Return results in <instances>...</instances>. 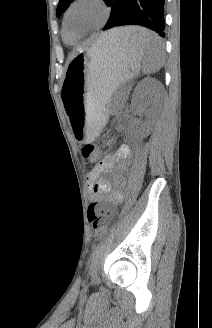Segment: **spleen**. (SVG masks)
<instances>
[{
    "label": "spleen",
    "mask_w": 212,
    "mask_h": 328,
    "mask_svg": "<svg viewBox=\"0 0 212 328\" xmlns=\"http://www.w3.org/2000/svg\"><path fill=\"white\" fill-rule=\"evenodd\" d=\"M132 45L145 51L143 72L151 74L158 71L164 63V51L161 39L142 27H133L130 36Z\"/></svg>",
    "instance_id": "3e777b00"
}]
</instances>
